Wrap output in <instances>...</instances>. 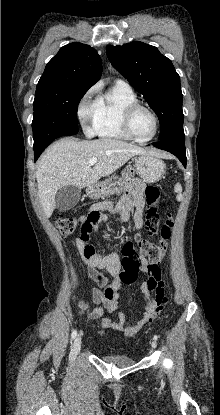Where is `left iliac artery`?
I'll use <instances>...</instances> for the list:
<instances>
[{"mask_svg": "<svg viewBox=\"0 0 220 415\" xmlns=\"http://www.w3.org/2000/svg\"><path fill=\"white\" fill-rule=\"evenodd\" d=\"M154 339L157 340L158 339V336L157 335H154Z\"/></svg>", "mask_w": 220, "mask_h": 415, "instance_id": "left-iliac-artery-1", "label": "left iliac artery"}]
</instances>
